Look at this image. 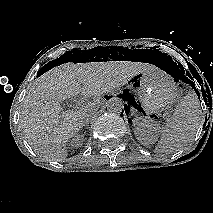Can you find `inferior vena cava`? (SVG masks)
<instances>
[{
	"label": "inferior vena cava",
	"instance_id": "602c4592",
	"mask_svg": "<svg viewBox=\"0 0 213 213\" xmlns=\"http://www.w3.org/2000/svg\"><path fill=\"white\" fill-rule=\"evenodd\" d=\"M96 111H97L96 107H93L91 105H86L85 112H84V121L89 122L90 120H92L95 116Z\"/></svg>",
	"mask_w": 213,
	"mask_h": 213
}]
</instances>
